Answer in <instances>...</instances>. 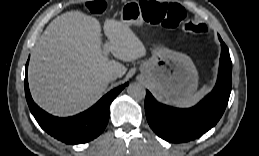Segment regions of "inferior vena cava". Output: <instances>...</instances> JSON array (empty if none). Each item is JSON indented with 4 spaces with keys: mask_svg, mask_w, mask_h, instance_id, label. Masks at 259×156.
<instances>
[{
    "mask_svg": "<svg viewBox=\"0 0 259 156\" xmlns=\"http://www.w3.org/2000/svg\"><path fill=\"white\" fill-rule=\"evenodd\" d=\"M118 77H120V75L116 72L110 73L108 75V78H109L110 81L116 80Z\"/></svg>",
    "mask_w": 259,
    "mask_h": 156,
    "instance_id": "obj_1",
    "label": "inferior vena cava"
}]
</instances>
